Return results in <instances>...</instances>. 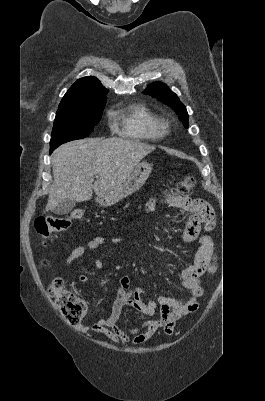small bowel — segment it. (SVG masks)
Returning a JSON list of instances; mask_svg holds the SVG:
<instances>
[{
	"label": "small bowel",
	"instance_id": "c3829d8e",
	"mask_svg": "<svg viewBox=\"0 0 265 401\" xmlns=\"http://www.w3.org/2000/svg\"><path fill=\"white\" fill-rule=\"evenodd\" d=\"M164 201L180 213L189 214L182 241L185 243L198 241L200 244L194 264L183 269L179 275L181 285L189 292V297L181 300L159 296L156 300H145L142 289L130 288V277L123 276L109 316L92 323L79 324L77 326L79 331L101 333L114 343L139 345L150 340L160 328H164L165 323L171 324L173 328L177 320L198 309V299L203 295L201 280L215 269V246L211 238L205 234L215 225V212L212 205L201 198L164 197ZM157 202V198L149 201L146 210L152 211ZM107 240L108 238L105 236H97L89 242L75 247L66 258L65 267L68 269L86 252L99 249ZM110 240L116 244L122 241L120 237H112ZM93 264L98 269L104 266L103 261L98 258L93 260ZM90 279L91 277L87 274H82L78 278L81 284ZM126 305L133 307L145 316H154L159 305L161 307L160 318L144 322L137 328L124 330L118 326L117 322Z\"/></svg>",
	"mask_w": 265,
	"mask_h": 401
}]
</instances>
